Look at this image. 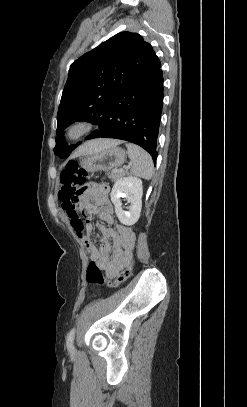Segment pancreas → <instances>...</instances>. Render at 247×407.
<instances>
[{
    "mask_svg": "<svg viewBox=\"0 0 247 407\" xmlns=\"http://www.w3.org/2000/svg\"><path fill=\"white\" fill-rule=\"evenodd\" d=\"M126 174L125 171H111L107 173V176L109 179H111L112 181H116L118 180L120 177L124 176Z\"/></svg>",
    "mask_w": 247,
    "mask_h": 407,
    "instance_id": "pancreas-1",
    "label": "pancreas"
}]
</instances>
